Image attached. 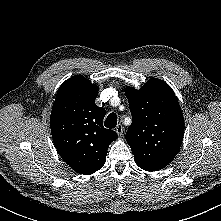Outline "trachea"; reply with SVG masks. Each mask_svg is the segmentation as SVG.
Here are the masks:
<instances>
[{
	"instance_id": "obj_1",
	"label": "trachea",
	"mask_w": 221,
	"mask_h": 221,
	"mask_svg": "<svg viewBox=\"0 0 221 221\" xmlns=\"http://www.w3.org/2000/svg\"><path fill=\"white\" fill-rule=\"evenodd\" d=\"M104 125L109 129L115 128L117 125V115L115 113L109 114L105 120Z\"/></svg>"
}]
</instances>
